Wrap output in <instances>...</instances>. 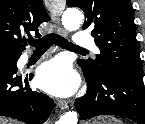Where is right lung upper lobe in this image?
Wrapping results in <instances>:
<instances>
[{"label":"right lung upper lobe","instance_id":"obj_1","mask_svg":"<svg viewBox=\"0 0 145 124\" xmlns=\"http://www.w3.org/2000/svg\"><path fill=\"white\" fill-rule=\"evenodd\" d=\"M42 0H0V52L20 55L27 45L25 34L49 21Z\"/></svg>","mask_w":145,"mask_h":124}]
</instances>
